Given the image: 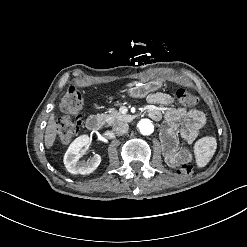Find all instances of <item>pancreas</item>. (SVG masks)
<instances>
[{
	"mask_svg": "<svg viewBox=\"0 0 247 247\" xmlns=\"http://www.w3.org/2000/svg\"><path fill=\"white\" fill-rule=\"evenodd\" d=\"M109 125H113L117 122L126 121L127 115L120 113L118 110H113L109 114H101Z\"/></svg>",
	"mask_w": 247,
	"mask_h": 247,
	"instance_id": "1",
	"label": "pancreas"
}]
</instances>
